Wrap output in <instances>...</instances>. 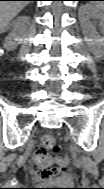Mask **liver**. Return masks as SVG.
Masks as SVG:
<instances>
[{
    "mask_svg": "<svg viewBox=\"0 0 104 189\" xmlns=\"http://www.w3.org/2000/svg\"><path fill=\"white\" fill-rule=\"evenodd\" d=\"M28 1H1L0 2V29L5 31L11 20L28 4Z\"/></svg>",
    "mask_w": 104,
    "mask_h": 189,
    "instance_id": "liver-1",
    "label": "liver"
}]
</instances>
